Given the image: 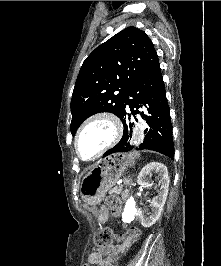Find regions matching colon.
Masks as SVG:
<instances>
[{"instance_id":"5ec220e1","label":"colon","mask_w":221,"mask_h":266,"mask_svg":"<svg viewBox=\"0 0 221 266\" xmlns=\"http://www.w3.org/2000/svg\"><path fill=\"white\" fill-rule=\"evenodd\" d=\"M105 204L110 208L112 213L114 215L119 214V209H120V202L114 198V197H107L105 199ZM140 231L132 227L127 233V236L132 240H135L139 237ZM114 233L111 229H102L100 230L93 238V243L94 246L96 247L97 250H101L107 246H109L112 241L114 240Z\"/></svg>"}]
</instances>
